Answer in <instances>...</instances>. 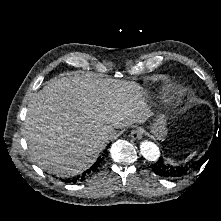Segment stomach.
<instances>
[{
	"mask_svg": "<svg viewBox=\"0 0 221 221\" xmlns=\"http://www.w3.org/2000/svg\"><path fill=\"white\" fill-rule=\"evenodd\" d=\"M167 119L164 114H158L150 126L151 132L160 140L167 134Z\"/></svg>",
	"mask_w": 221,
	"mask_h": 221,
	"instance_id": "stomach-1",
	"label": "stomach"
}]
</instances>
